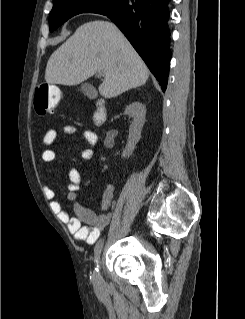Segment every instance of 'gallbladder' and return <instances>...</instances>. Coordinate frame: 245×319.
I'll return each instance as SVG.
<instances>
[{
	"instance_id": "1",
	"label": "gallbladder",
	"mask_w": 245,
	"mask_h": 319,
	"mask_svg": "<svg viewBox=\"0 0 245 319\" xmlns=\"http://www.w3.org/2000/svg\"><path fill=\"white\" fill-rule=\"evenodd\" d=\"M81 91L82 93L87 96V97H95L97 95V92L95 88L89 84V83H84L81 85Z\"/></svg>"
}]
</instances>
